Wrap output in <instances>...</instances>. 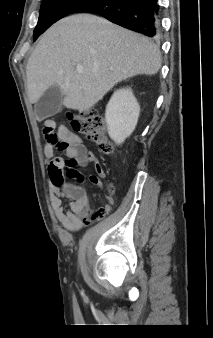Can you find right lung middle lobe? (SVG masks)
Here are the masks:
<instances>
[{
  "label": "right lung middle lobe",
  "mask_w": 213,
  "mask_h": 338,
  "mask_svg": "<svg viewBox=\"0 0 213 338\" xmlns=\"http://www.w3.org/2000/svg\"><path fill=\"white\" fill-rule=\"evenodd\" d=\"M92 0H43L38 24L34 30V40L61 18L74 13L79 7Z\"/></svg>",
  "instance_id": "1"
}]
</instances>
